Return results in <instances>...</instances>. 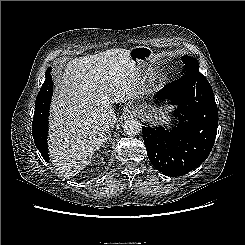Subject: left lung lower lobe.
<instances>
[{
    "label": "left lung lower lobe",
    "mask_w": 245,
    "mask_h": 245,
    "mask_svg": "<svg viewBox=\"0 0 245 245\" xmlns=\"http://www.w3.org/2000/svg\"><path fill=\"white\" fill-rule=\"evenodd\" d=\"M155 100L176 104L179 121L170 130L143 126L149 160L166 176L185 175L207 159L215 142L218 110L213 90L203 74L192 72L166 84Z\"/></svg>",
    "instance_id": "obj_1"
}]
</instances>
